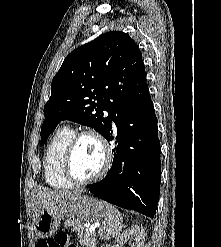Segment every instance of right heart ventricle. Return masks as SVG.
I'll return each mask as SVG.
<instances>
[{
    "mask_svg": "<svg viewBox=\"0 0 221 247\" xmlns=\"http://www.w3.org/2000/svg\"><path fill=\"white\" fill-rule=\"evenodd\" d=\"M74 132L60 128L50 140L44 156V175L47 183L57 189L70 188L72 183L63 173V157Z\"/></svg>",
    "mask_w": 221,
    "mask_h": 247,
    "instance_id": "right-heart-ventricle-1",
    "label": "right heart ventricle"
}]
</instances>
